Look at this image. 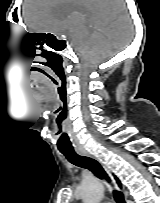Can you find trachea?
<instances>
[{
    "label": "trachea",
    "instance_id": "3493384b",
    "mask_svg": "<svg viewBox=\"0 0 160 203\" xmlns=\"http://www.w3.org/2000/svg\"><path fill=\"white\" fill-rule=\"evenodd\" d=\"M61 153L70 163L78 167L86 168L100 179H106L110 182V178L108 177L103 167L93 158L79 155L74 150H61ZM113 196L117 203H125L124 195L122 192L113 190Z\"/></svg>",
    "mask_w": 160,
    "mask_h": 203
}]
</instances>
